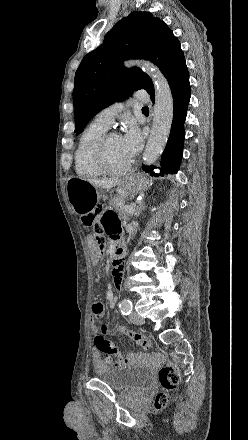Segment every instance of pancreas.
<instances>
[{"instance_id": "cf45deb5", "label": "pancreas", "mask_w": 248, "mask_h": 440, "mask_svg": "<svg viewBox=\"0 0 248 440\" xmlns=\"http://www.w3.org/2000/svg\"><path fill=\"white\" fill-rule=\"evenodd\" d=\"M111 203H113L116 207V209L119 212V215L121 218H123L124 220L128 221L131 217V214H129L128 212L125 211V206L123 205V198L120 196L114 197L113 199L110 200Z\"/></svg>"}]
</instances>
